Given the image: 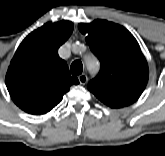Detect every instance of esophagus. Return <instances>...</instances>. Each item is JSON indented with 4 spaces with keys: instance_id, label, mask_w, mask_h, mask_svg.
Listing matches in <instances>:
<instances>
[{
    "instance_id": "obj_1",
    "label": "esophagus",
    "mask_w": 165,
    "mask_h": 156,
    "mask_svg": "<svg viewBox=\"0 0 165 156\" xmlns=\"http://www.w3.org/2000/svg\"><path fill=\"white\" fill-rule=\"evenodd\" d=\"M78 80H79L80 84L85 85L88 81V77L85 74H81L78 76Z\"/></svg>"
}]
</instances>
